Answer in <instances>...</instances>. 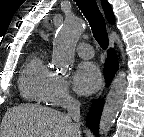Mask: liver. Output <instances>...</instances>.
<instances>
[{
	"label": "liver",
	"mask_w": 144,
	"mask_h": 137,
	"mask_svg": "<svg viewBox=\"0 0 144 137\" xmlns=\"http://www.w3.org/2000/svg\"><path fill=\"white\" fill-rule=\"evenodd\" d=\"M0 137H81L72 119L52 108L24 104L7 110Z\"/></svg>",
	"instance_id": "1"
}]
</instances>
